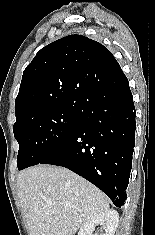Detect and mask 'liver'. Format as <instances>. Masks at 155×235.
Instances as JSON below:
<instances>
[{"instance_id":"liver-1","label":"liver","mask_w":155,"mask_h":235,"mask_svg":"<svg viewBox=\"0 0 155 235\" xmlns=\"http://www.w3.org/2000/svg\"><path fill=\"white\" fill-rule=\"evenodd\" d=\"M17 189L30 235H74L109 210L98 188L63 167L25 169L17 175Z\"/></svg>"}]
</instances>
